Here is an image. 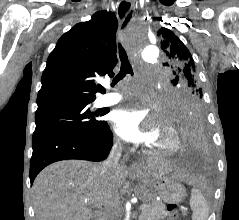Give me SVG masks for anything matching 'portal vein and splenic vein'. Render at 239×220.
<instances>
[{
    "label": "portal vein and splenic vein",
    "instance_id": "obj_1",
    "mask_svg": "<svg viewBox=\"0 0 239 220\" xmlns=\"http://www.w3.org/2000/svg\"><path fill=\"white\" fill-rule=\"evenodd\" d=\"M146 207H147V204H142L140 205L139 210H144Z\"/></svg>",
    "mask_w": 239,
    "mask_h": 220
}]
</instances>
